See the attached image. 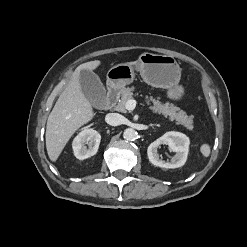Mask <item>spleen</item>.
Masks as SVG:
<instances>
[{"instance_id":"spleen-1","label":"spleen","mask_w":247,"mask_h":247,"mask_svg":"<svg viewBox=\"0 0 247 247\" xmlns=\"http://www.w3.org/2000/svg\"><path fill=\"white\" fill-rule=\"evenodd\" d=\"M200 152L204 157H208L211 152L210 146L208 144H202L200 147Z\"/></svg>"}]
</instances>
